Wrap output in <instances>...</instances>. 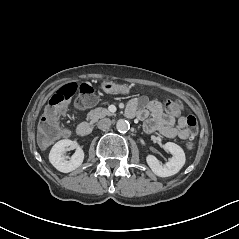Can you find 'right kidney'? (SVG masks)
<instances>
[{
  "label": "right kidney",
  "mask_w": 239,
  "mask_h": 239,
  "mask_svg": "<svg viewBox=\"0 0 239 239\" xmlns=\"http://www.w3.org/2000/svg\"><path fill=\"white\" fill-rule=\"evenodd\" d=\"M76 149L70 160H66L64 153ZM84 160V152L76 141L64 139L58 141L51 149L49 161L60 172L68 173L78 168Z\"/></svg>",
  "instance_id": "right-kidney-1"
}]
</instances>
